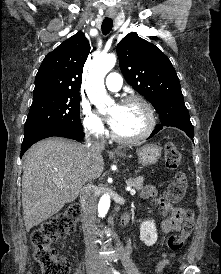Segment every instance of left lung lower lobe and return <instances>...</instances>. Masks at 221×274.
Here are the masks:
<instances>
[{
	"label": "left lung lower lobe",
	"instance_id": "obj_1",
	"mask_svg": "<svg viewBox=\"0 0 221 274\" xmlns=\"http://www.w3.org/2000/svg\"><path fill=\"white\" fill-rule=\"evenodd\" d=\"M161 124L157 125L150 135L151 138L159 132L164 126L177 127L183 130L191 139L193 138V126L190 122L189 113L186 106L182 105L179 108H172L165 115L160 117Z\"/></svg>",
	"mask_w": 221,
	"mask_h": 274
}]
</instances>
